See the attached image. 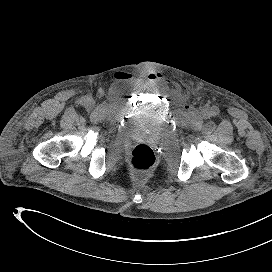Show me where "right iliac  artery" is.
<instances>
[{"instance_id":"right-iliac-artery-1","label":"right iliac artery","mask_w":272,"mask_h":272,"mask_svg":"<svg viewBox=\"0 0 272 272\" xmlns=\"http://www.w3.org/2000/svg\"><path fill=\"white\" fill-rule=\"evenodd\" d=\"M86 101H87V99H86V98H82V99L80 100V103H81V104H85V103H86Z\"/></svg>"}]
</instances>
